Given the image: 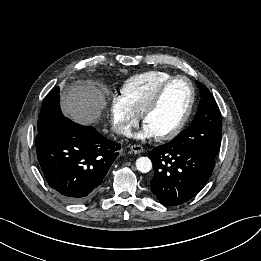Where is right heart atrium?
<instances>
[{
    "label": "right heart atrium",
    "mask_w": 261,
    "mask_h": 261,
    "mask_svg": "<svg viewBox=\"0 0 261 261\" xmlns=\"http://www.w3.org/2000/svg\"><path fill=\"white\" fill-rule=\"evenodd\" d=\"M111 126L115 132L127 135L139 122V115L132 109L122 94L114 95L110 105Z\"/></svg>",
    "instance_id": "obj_1"
}]
</instances>
